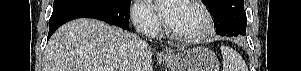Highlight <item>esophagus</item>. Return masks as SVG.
Here are the masks:
<instances>
[{
    "label": "esophagus",
    "instance_id": "esophagus-1",
    "mask_svg": "<svg viewBox=\"0 0 301 71\" xmlns=\"http://www.w3.org/2000/svg\"><path fill=\"white\" fill-rule=\"evenodd\" d=\"M161 56H163V57H168L169 55H168V53H166V52H161Z\"/></svg>",
    "mask_w": 301,
    "mask_h": 71
}]
</instances>
